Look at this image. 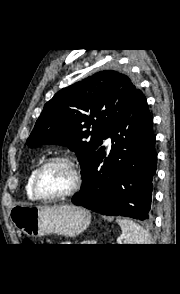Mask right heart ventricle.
<instances>
[{
  "label": "right heart ventricle",
  "instance_id": "1",
  "mask_svg": "<svg viewBox=\"0 0 180 294\" xmlns=\"http://www.w3.org/2000/svg\"><path fill=\"white\" fill-rule=\"evenodd\" d=\"M35 171H36V169H34L30 173V175L27 178L26 185H25V190H26L27 195L32 196V197L35 196L33 193V190H32V179H33V175H34Z\"/></svg>",
  "mask_w": 180,
  "mask_h": 294
}]
</instances>
